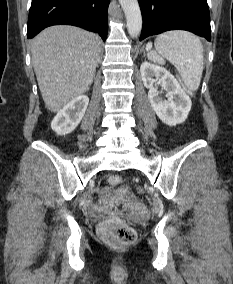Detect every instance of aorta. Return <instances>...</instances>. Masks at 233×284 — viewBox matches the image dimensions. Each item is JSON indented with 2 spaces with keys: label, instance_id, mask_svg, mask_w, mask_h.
Segmentation results:
<instances>
[{
  "label": "aorta",
  "instance_id": "1",
  "mask_svg": "<svg viewBox=\"0 0 233 284\" xmlns=\"http://www.w3.org/2000/svg\"><path fill=\"white\" fill-rule=\"evenodd\" d=\"M119 2L126 17L128 33L132 38H136L142 29V15L138 0H119Z\"/></svg>",
  "mask_w": 233,
  "mask_h": 284
}]
</instances>
